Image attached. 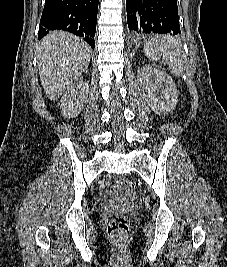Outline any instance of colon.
Segmentation results:
<instances>
[{"label": "colon", "instance_id": "5ec220e1", "mask_svg": "<svg viewBox=\"0 0 227 267\" xmlns=\"http://www.w3.org/2000/svg\"><path fill=\"white\" fill-rule=\"evenodd\" d=\"M110 193L116 201L125 203L134 198L135 188L130 180L122 178L112 183ZM129 230L130 219L125 215L114 216L107 224L108 235L120 251L127 245Z\"/></svg>", "mask_w": 227, "mask_h": 267}]
</instances>
